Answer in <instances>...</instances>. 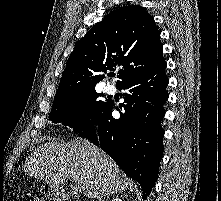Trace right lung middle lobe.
<instances>
[{"label":"right lung middle lobe","mask_w":221,"mask_h":201,"mask_svg":"<svg viewBox=\"0 0 221 201\" xmlns=\"http://www.w3.org/2000/svg\"><path fill=\"white\" fill-rule=\"evenodd\" d=\"M95 89L55 97L49 119L73 128L75 132L93 125L110 105V100H99Z\"/></svg>","instance_id":"1"}]
</instances>
